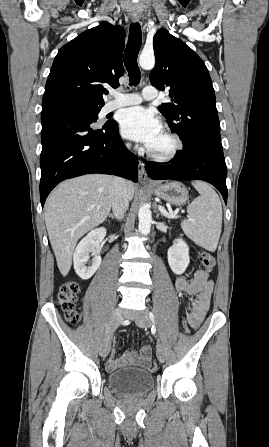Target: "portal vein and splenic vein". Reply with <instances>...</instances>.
<instances>
[{
	"mask_svg": "<svg viewBox=\"0 0 269 447\" xmlns=\"http://www.w3.org/2000/svg\"><path fill=\"white\" fill-rule=\"evenodd\" d=\"M161 214H163V216H165V218H170V220H176V218H180V216H177V214H174V212H172V214H169V212H167V210H165V208H163V206H158ZM189 222H194V220H192V218H188Z\"/></svg>",
	"mask_w": 269,
	"mask_h": 447,
	"instance_id": "portal-vein-and-splenic-vein-1",
	"label": "portal vein and splenic vein"
}]
</instances>
